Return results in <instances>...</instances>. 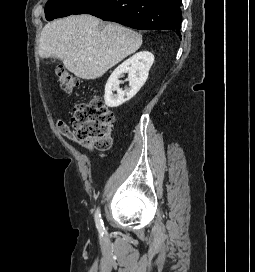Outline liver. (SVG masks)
Masks as SVG:
<instances>
[{
  "label": "liver",
  "mask_w": 255,
  "mask_h": 272,
  "mask_svg": "<svg viewBox=\"0 0 255 272\" xmlns=\"http://www.w3.org/2000/svg\"><path fill=\"white\" fill-rule=\"evenodd\" d=\"M92 15H71L44 26L39 43L41 58L55 57L75 76L92 80L134 53L142 35Z\"/></svg>",
  "instance_id": "obj_1"
}]
</instances>
